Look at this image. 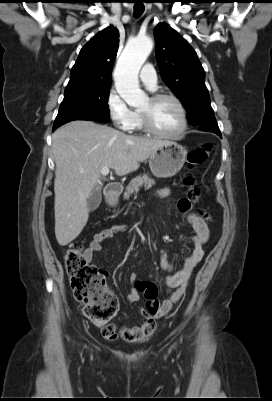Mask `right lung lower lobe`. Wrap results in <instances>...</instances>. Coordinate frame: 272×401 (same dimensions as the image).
<instances>
[{"instance_id": "right-lung-lower-lobe-1", "label": "right lung lower lobe", "mask_w": 272, "mask_h": 401, "mask_svg": "<svg viewBox=\"0 0 272 401\" xmlns=\"http://www.w3.org/2000/svg\"><path fill=\"white\" fill-rule=\"evenodd\" d=\"M58 127H53L52 131H55Z\"/></svg>"}]
</instances>
